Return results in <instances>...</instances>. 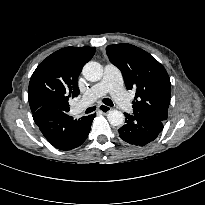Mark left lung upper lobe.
<instances>
[{"label": "left lung upper lobe", "mask_w": 205, "mask_h": 205, "mask_svg": "<svg viewBox=\"0 0 205 205\" xmlns=\"http://www.w3.org/2000/svg\"><path fill=\"white\" fill-rule=\"evenodd\" d=\"M106 53L121 70L127 88L136 90L134 114L165 121L171 96L165 68L149 53L131 44L109 45Z\"/></svg>", "instance_id": "obj_1"}]
</instances>
